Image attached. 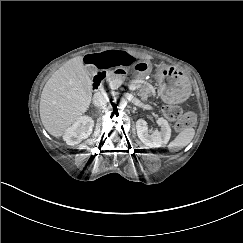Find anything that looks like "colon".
Segmentation results:
<instances>
[{
	"label": "colon",
	"instance_id": "obj_1",
	"mask_svg": "<svg viewBox=\"0 0 243 243\" xmlns=\"http://www.w3.org/2000/svg\"><path fill=\"white\" fill-rule=\"evenodd\" d=\"M165 117L169 120H178L176 128L182 131L191 127L195 123V115L192 112L183 114L182 109L178 105H166L163 108Z\"/></svg>",
	"mask_w": 243,
	"mask_h": 243
}]
</instances>
